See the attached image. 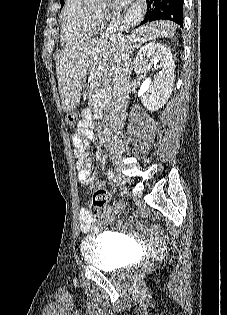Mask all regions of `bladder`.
<instances>
[{"label":"bladder","instance_id":"31cf9c89","mask_svg":"<svg viewBox=\"0 0 227 315\" xmlns=\"http://www.w3.org/2000/svg\"><path fill=\"white\" fill-rule=\"evenodd\" d=\"M129 253V246L114 236H90L81 243L84 262L104 271L122 267Z\"/></svg>","mask_w":227,"mask_h":315}]
</instances>
